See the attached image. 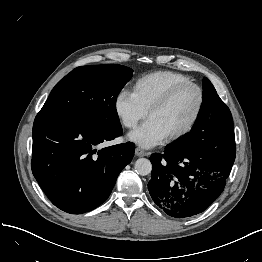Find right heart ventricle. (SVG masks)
Wrapping results in <instances>:
<instances>
[{"mask_svg":"<svg viewBox=\"0 0 262 262\" xmlns=\"http://www.w3.org/2000/svg\"><path fill=\"white\" fill-rule=\"evenodd\" d=\"M190 82L183 74L172 71H157L139 78L133 87V93L148 111L149 108L161 99L173 87Z\"/></svg>","mask_w":262,"mask_h":262,"instance_id":"right-heart-ventricle-1","label":"right heart ventricle"}]
</instances>
